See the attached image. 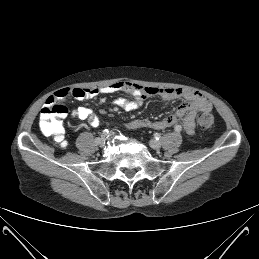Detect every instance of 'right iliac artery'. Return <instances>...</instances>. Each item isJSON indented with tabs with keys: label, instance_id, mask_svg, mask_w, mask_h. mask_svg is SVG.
I'll return each mask as SVG.
<instances>
[{
	"label": "right iliac artery",
	"instance_id": "1",
	"mask_svg": "<svg viewBox=\"0 0 259 259\" xmlns=\"http://www.w3.org/2000/svg\"><path fill=\"white\" fill-rule=\"evenodd\" d=\"M92 140H93L94 142H98V141L100 140V137H99L98 135H94V136L92 137Z\"/></svg>",
	"mask_w": 259,
	"mask_h": 259
}]
</instances>
